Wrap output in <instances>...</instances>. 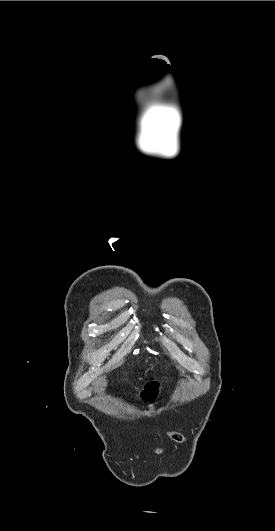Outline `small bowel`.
I'll return each mask as SVG.
<instances>
[{
	"instance_id": "small-bowel-1",
	"label": "small bowel",
	"mask_w": 275,
	"mask_h": 531,
	"mask_svg": "<svg viewBox=\"0 0 275 531\" xmlns=\"http://www.w3.org/2000/svg\"><path fill=\"white\" fill-rule=\"evenodd\" d=\"M157 391H158L157 384L156 383H150V384L147 385L146 389L142 393L143 398L146 401H152L155 398Z\"/></svg>"
}]
</instances>
